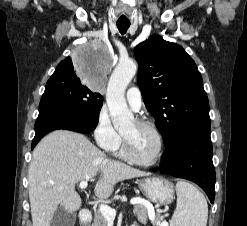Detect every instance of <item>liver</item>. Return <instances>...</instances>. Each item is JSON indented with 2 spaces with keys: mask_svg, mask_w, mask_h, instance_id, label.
Segmentation results:
<instances>
[{
  "mask_svg": "<svg viewBox=\"0 0 247 226\" xmlns=\"http://www.w3.org/2000/svg\"><path fill=\"white\" fill-rule=\"evenodd\" d=\"M95 194L108 198L119 181L146 176L122 162L111 160L84 135L57 130L35 147L28 169V190L33 226H50L58 206L68 213L82 204L75 185L95 182Z\"/></svg>",
  "mask_w": 247,
  "mask_h": 226,
  "instance_id": "6515ba94",
  "label": "liver"
}]
</instances>
